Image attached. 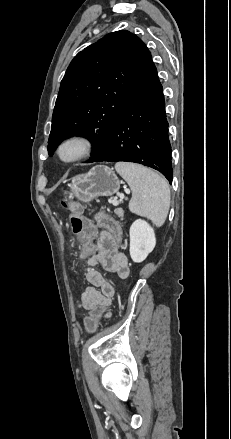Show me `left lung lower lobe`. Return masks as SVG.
<instances>
[{
    "mask_svg": "<svg viewBox=\"0 0 231 439\" xmlns=\"http://www.w3.org/2000/svg\"><path fill=\"white\" fill-rule=\"evenodd\" d=\"M127 161L160 171L172 182L171 146L162 85L151 60L105 144L92 162Z\"/></svg>",
    "mask_w": 231,
    "mask_h": 439,
    "instance_id": "1",
    "label": "left lung lower lobe"
}]
</instances>
